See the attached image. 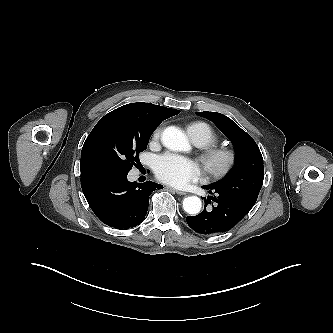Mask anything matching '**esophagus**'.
<instances>
[{"label": "esophagus", "instance_id": "34e87169", "mask_svg": "<svg viewBox=\"0 0 333 333\" xmlns=\"http://www.w3.org/2000/svg\"><path fill=\"white\" fill-rule=\"evenodd\" d=\"M167 188H168L170 191L175 192V193L178 194V195H185V194H186L185 192L180 191V190H177V189H175V188H173V187H170V186H168Z\"/></svg>", "mask_w": 333, "mask_h": 333}]
</instances>
